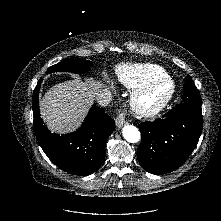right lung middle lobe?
Returning <instances> with one entry per match:
<instances>
[{"label": "right lung middle lobe", "instance_id": "obj_1", "mask_svg": "<svg viewBox=\"0 0 221 221\" xmlns=\"http://www.w3.org/2000/svg\"><path fill=\"white\" fill-rule=\"evenodd\" d=\"M92 63L85 60H64L51 66L47 73L58 72V71H68L77 74H82L90 70Z\"/></svg>", "mask_w": 221, "mask_h": 221}]
</instances>
